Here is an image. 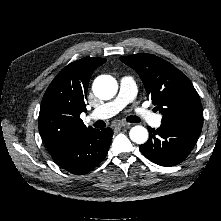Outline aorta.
I'll list each match as a JSON object with an SVG mask.
<instances>
[{
	"instance_id": "1",
	"label": "aorta",
	"mask_w": 221,
	"mask_h": 221,
	"mask_svg": "<svg viewBox=\"0 0 221 221\" xmlns=\"http://www.w3.org/2000/svg\"><path fill=\"white\" fill-rule=\"evenodd\" d=\"M117 82L110 75H101L93 82V92L96 97L102 100L111 99L117 92ZM130 139L137 143L143 144L148 139V131L143 126H134L129 132Z\"/></svg>"
}]
</instances>
